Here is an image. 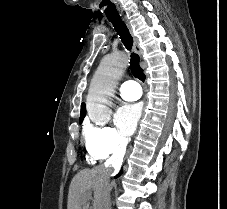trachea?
Instances as JSON below:
<instances>
[{
    "label": "trachea",
    "mask_w": 227,
    "mask_h": 209,
    "mask_svg": "<svg viewBox=\"0 0 227 209\" xmlns=\"http://www.w3.org/2000/svg\"><path fill=\"white\" fill-rule=\"evenodd\" d=\"M106 16H107L109 22H111L113 24L116 32L118 33V35L120 36V38L122 40L124 46L128 50L132 49L133 38L130 35L126 24L121 19L119 13H117V12L109 13V14H106ZM139 62H140L139 55H137L136 53H132L131 58H130V67H129L131 70V73L137 79L144 81L146 76L143 72V69H141Z\"/></svg>",
    "instance_id": "trachea-1"
}]
</instances>
